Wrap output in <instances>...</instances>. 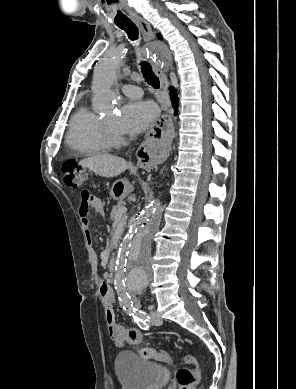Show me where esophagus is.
Returning a JSON list of instances; mask_svg holds the SVG:
<instances>
[{"mask_svg":"<svg viewBox=\"0 0 296 389\" xmlns=\"http://www.w3.org/2000/svg\"><path fill=\"white\" fill-rule=\"evenodd\" d=\"M135 24L141 30L144 40L149 44L154 39V32L151 29L150 24L143 18L134 19ZM155 73L159 77L161 88L164 91L168 90V79L164 72L159 68L158 65L153 63ZM174 127L171 122L169 114L164 113L155 121L154 126H150L141 143L138 153L137 166L140 169H155L157 163L163 161V157L169 155L170 144L175 140L173 133Z\"/></svg>","mask_w":296,"mask_h":389,"instance_id":"34e87169","label":"esophagus"}]
</instances>
